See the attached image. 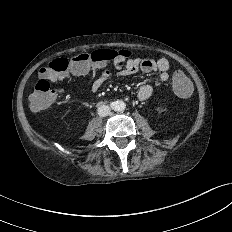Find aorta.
<instances>
[{"label":"aorta","mask_w":232,"mask_h":232,"mask_svg":"<svg viewBox=\"0 0 232 232\" xmlns=\"http://www.w3.org/2000/svg\"><path fill=\"white\" fill-rule=\"evenodd\" d=\"M125 108H126V104L122 100H117L113 103V109L115 111L120 112V111H123Z\"/></svg>","instance_id":"aorta-1"}]
</instances>
